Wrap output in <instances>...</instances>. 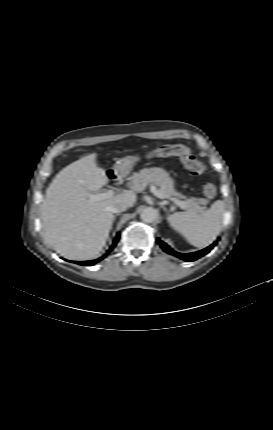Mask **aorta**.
I'll return each instance as SVG.
<instances>
[{"label": "aorta", "mask_w": 273, "mask_h": 430, "mask_svg": "<svg viewBox=\"0 0 273 430\" xmlns=\"http://www.w3.org/2000/svg\"><path fill=\"white\" fill-rule=\"evenodd\" d=\"M158 218V211L155 208L147 207L141 213V219L146 223H152Z\"/></svg>", "instance_id": "1"}]
</instances>
